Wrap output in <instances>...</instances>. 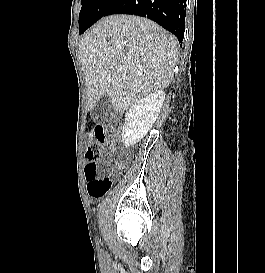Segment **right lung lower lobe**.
<instances>
[{"label":"right lung lower lobe","instance_id":"1","mask_svg":"<svg viewBox=\"0 0 265 273\" xmlns=\"http://www.w3.org/2000/svg\"><path fill=\"white\" fill-rule=\"evenodd\" d=\"M147 17L173 33L182 43L185 31L186 0H115L105 13Z\"/></svg>","mask_w":265,"mask_h":273}]
</instances>
